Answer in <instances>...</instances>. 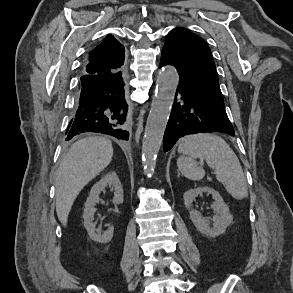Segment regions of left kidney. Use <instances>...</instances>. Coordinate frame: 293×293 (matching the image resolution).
Listing matches in <instances>:
<instances>
[{
    "label": "left kidney",
    "instance_id": "1",
    "mask_svg": "<svg viewBox=\"0 0 293 293\" xmlns=\"http://www.w3.org/2000/svg\"><path fill=\"white\" fill-rule=\"evenodd\" d=\"M204 192L211 194L212 198L215 200L211 205L216 212V215L212 219V226L209 221L201 216L200 212L192 208V203L195 198ZM183 199L185 207L189 210L190 219L194 226L206 236L214 238L223 234L233 221V216L230 214L229 208L225 204L223 198L212 188L198 187L190 189L183 194Z\"/></svg>",
    "mask_w": 293,
    "mask_h": 293
}]
</instances>
